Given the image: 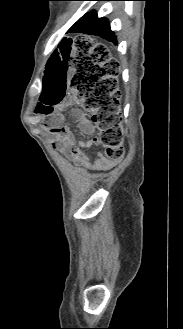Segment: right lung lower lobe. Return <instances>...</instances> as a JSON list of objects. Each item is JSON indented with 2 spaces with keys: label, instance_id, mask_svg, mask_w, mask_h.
Instances as JSON below:
<instances>
[{
  "label": "right lung lower lobe",
  "instance_id": "right-lung-lower-lobe-1",
  "mask_svg": "<svg viewBox=\"0 0 183 329\" xmlns=\"http://www.w3.org/2000/svg\"><path fill=\"white\" fill-rule=\"evenodd\" d=\"M70 32H81L85 34L97 35L108 41L116 43V37L110 29L109 22L106 18H98L97 14L92 11L81 17L70 29ZM82 66L91 71L97 69L98 65L90 64L86 61Z\"/></svg>",
  "mask_w": 183,
  "mask_h": 329
}]
</instances>
